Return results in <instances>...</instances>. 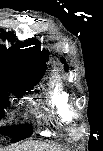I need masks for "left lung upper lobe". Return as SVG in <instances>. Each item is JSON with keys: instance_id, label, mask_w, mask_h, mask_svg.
Masks as SVG:
<instances>
[{"instance_id": "5c2ea615", "label": "left lung upper lobe", "mask_w": 103, "mask_h": 151, "mask_svg": "<svg viewBox=\"0 0 103 151\" xmlns=\"http://www.w3.org/2000/svg\"><path fill=\"white\" fill-rule=\"evenodd\" d=\"M61 61H62L63 63H65V61H64L63 58L61 59ZM65 68L68 69V66L66 65Z\"/></svg>"}]
</instances>
